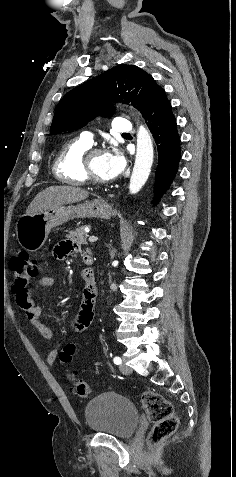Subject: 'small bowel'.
Listing matches in <instances>:
<instances>
[{
	"mask_svg": "<svg viewBox=\"0 0 236 477\" xmlns=\"http://www.w3.org/2000/svg\"><path fill=\"white\" fill-rule=\"evenodd\" d=\"M78 247L75 243L64 240L58 243L54 249V257L58 260H63L68 256L77 252ZM92 257L89 253H84L83 259L86 263L87 259ZM87 264V263H86ZM93 271L85 269L83 271V278L86 281V287L83 293V299L79 307L78 314L73 321V328L77 332L87 331L94 320V310L96 302V288L89 283ZM57 281L53 277H42L37 282V288L43 291H49L56 287ZM18 305L25 311L29 321L36 327L41 336L46 340H52L54 333L52 329L42 320L43 307L39 305L30 293H24L19 296L17 300ZM58 357L56 349L51 350L47 355V362L50 365L55 364Z\"/></svg>",
	"mask_w": 236,
	"mask_h": 477,
	"instance_id": "c3829d8e",
	"label": "small bowel"
}]
</instances>
